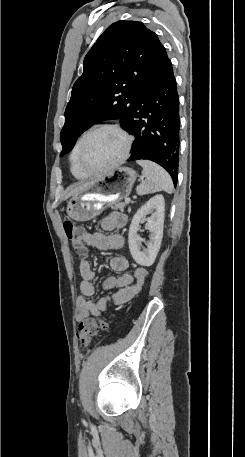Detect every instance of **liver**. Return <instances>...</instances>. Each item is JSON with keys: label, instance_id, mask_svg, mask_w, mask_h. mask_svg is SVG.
Masks as SVG:
<instances>
[{"label": "liver", "instance_id": "6515ba94", "mask_svg": "<svg viewBox=\"0 0 245 457\" xmlns=\"http://www.w3.org/2000/svg\"><path fill=\"white\" fill-rule=\"evenodd\" d=\"M92 182H94V180H88V182H83V184H80V186H76V188H73L71 192H68L65 198H68V196H72V194H76V192H81L83 188H86V186H88V184H92Z\"/></svg>", "mask_w": 245, "mask_h": 457}]
</instances>
